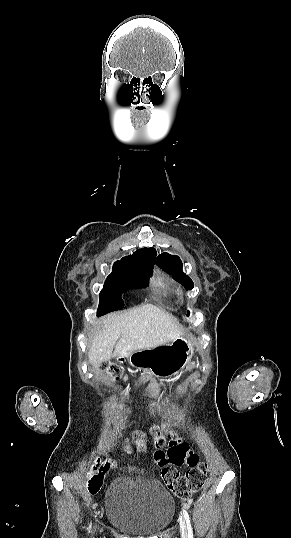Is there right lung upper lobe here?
Wrapping results in <instances>:
<instances>
[{
    "mask_svg": "<svg viewBox=\"0 0 291 538\" xmlns=\"http://www.w3.org/2000/svg\"><path fill=\"white\" fill-rule=\"evenodd\" d=\"M122 259H128L132 261H152L156 262L155 249L143 248L135 251L132 255L124 257Z\"/></svg>",
    "mask_w": 291,
    "mask_h": 538,
    "instance_id": "right-lung-upper-lobe-1",
    "label": "right lung upper lobe"
}]
</instances>
